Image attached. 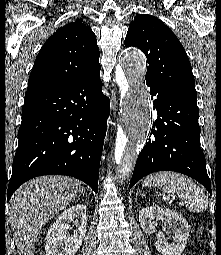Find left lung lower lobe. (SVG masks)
<instances>
[{
    "label": "left lung lower lobe",
    "instance_id": "obj_1",
    "mask_svg": "<svg viewBox=\"0 0 221 255\" xmlns=\"http://www.w3.org/2000/svg\"><path fill=\"white\" fill-rule=\"evenodd\" d=\"M158 118L148 142L140 152L130 187L156 171H175L188 175L211 193L205 156L200 148L197 102L150 86Z\"/></svg>",
    "mask_w": 221,
    "mask_h": 255
}]
</instances>
